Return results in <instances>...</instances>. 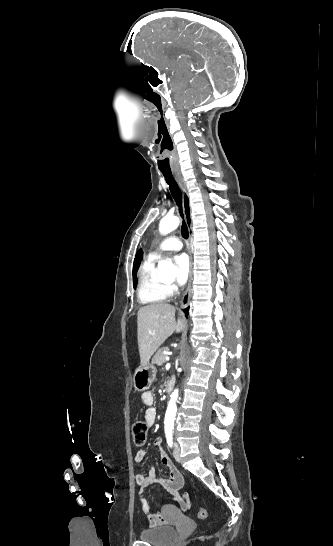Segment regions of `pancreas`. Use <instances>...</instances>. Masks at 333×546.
<instances>
[{
    "instance_id": "cf45deb5",
    "label": "pancreas",
    "mask_w": 333,
    "mask_h": 546,
    "mask_svg": "<svg viewBox=\"0 0 333 546\" xmlns=\"http://www.w3.org/2000/svg\"><path fill=\"white\" fill-rule=\"evenodd\" d=\"M168 350V347L160 348L152 358V362L158 366L164 364L166 362L165 357L167 356L165 352H167Z\"/></svg>"
}]
</instances>
